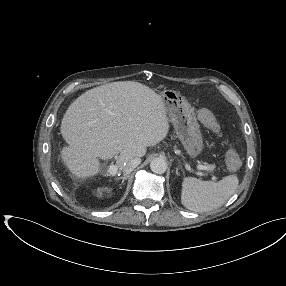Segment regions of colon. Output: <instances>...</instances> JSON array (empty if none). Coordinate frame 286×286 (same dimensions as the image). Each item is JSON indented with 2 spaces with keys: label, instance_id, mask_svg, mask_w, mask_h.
Listing matches in <instances>:
<instances>
[{
  "label": "colon",
  "instance_id": "obj_1",
  "mask_svg": "<svg viewBox=\"0 0 286 286\" xmlns=\"http://www.w3.org/2000/svg\"><path fill=\"white\" fill-rule=\"evenodd\" d=\"M199 118L201 122L211 130H216L218 125L217 121L211 111L202 109L199 111ZM240 161L238 156L234 152H229L227 155V167L231 171H235L239 168Z\"/></svg>",
  "mask_w": 286,
  "mask_h": 286
}]
</instances>
